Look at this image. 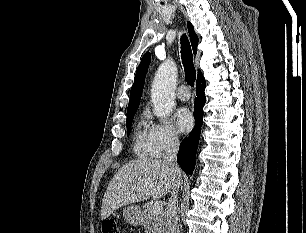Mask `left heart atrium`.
<instances>
[{
    "label": "left heart atrium",
    "instance_id": "obj_1",
    "mask_svg": "<svg viewBox=\"0 0 306 233\" xmlns=\"http://www.w3.org/2000/svg\"><path fill=\"white\" fill-rule=\"evenodd\" d=\"M174 118H175L177 129L180 132H187L193 126V117H192V114L185 107L179 108L175 112Z\"/></svg>",
    "mask_w": 306,
    "mask_h": 233
}]
</instances>
